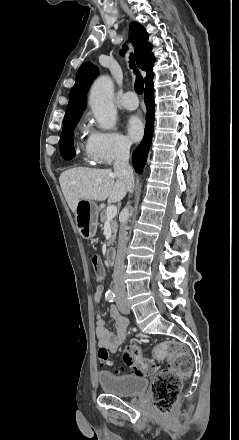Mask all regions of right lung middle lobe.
<instances>
[{
    "mask_svg": "<svg viewBox=\"0 0 239 440\" xmlns=\"http://www.w3.org/2000/svg\"><path fill=\"white\" fill-rule=\"evenodd\" d=\"M79 119L80 118H77V119L63 125V130H62L61 138L59 141L61 153L65 152L69 149L74 148L73 147V138H74L73 129L75 128Z\"/></svg>",
    "mask_w": 239,
    "mask_h": 440,
    "instance_id": "1",
    "label": "right lung middle lobe"
}]
</instances>
